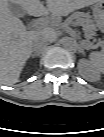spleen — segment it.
<instances>
[{
	"label": "spleen",
	"instance_id": "spleen-1",
	"mask_svg": "<svg viewBox=\"0 0 104 137\" xmlns=\"http://www.w3.org/2000/svg\"><path fill=\"white\" fill-rule=\"evenodd\" d=\"M90 62L94 66H101L103 65V55L100 52H92L89 55Z\"/></svg>",
	"mask_w": 104,
	"mask_h": 137
}]
</instances>
